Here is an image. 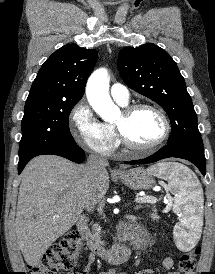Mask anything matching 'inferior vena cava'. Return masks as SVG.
Listing matches in <instances>:
<instances>
[{
	"label": "inferior vena cava",
	"mask_w": 215,
	"mask_h": 274,
	"mask_svg": "<svg viewBox=\"0 0 215 274\" xmlns=\"http://www.w3.org/2000/svg\"><path fill=\"white\" fill-rule=\"evenodd\" d=\"M108 160L102 156L91 154L87 159L86 169L94 181L97 177L105 170L106 166H108ZM97 204V199L93 196L88 204L86 205V209L88 212H93L95 206Z\"/></svg>",
	"instance_id": "1"
}]
</instances>
